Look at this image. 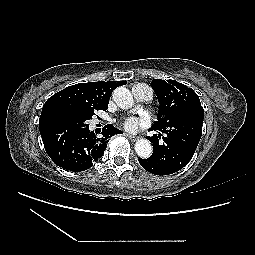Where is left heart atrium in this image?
<instances>
[{
  "label": "left heart atrium",
  "mask_w": 255,
  "mask_h": 255,
  "mask_svg": "<svg viewBox=\"0 0 255 255\" xmlns=\"http://www.w3.org/2000/svg\"><path fill=\"white\" fill-rule=\"evenodd\" d=\"M139 123L135 118H127L124 121V127L128 130H135L138 127Z\"/></svg>",
  "instance_id": "39dd6f15"
}]
</instances>
